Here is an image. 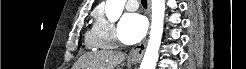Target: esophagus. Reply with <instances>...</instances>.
Masks as SVG:
<instances>
[{"label":"esophagus","mask_w":246,"mask_h":69,"mask_svg":"<svg viewBox=\"0 0 246 69\" xmlns=\"http://www.w3.org/2000/svg\"><path fill=\"white\" fill-rule=\"evenodd\" d=\"M148 10H149V17H151V1L150 0H148ZM146 44H147V40H145L143 43L131 49V51L129 52V60L131 62H139L141 60Z\"/></svg>","instance_id":"esophagus-1"}]
</instances>
